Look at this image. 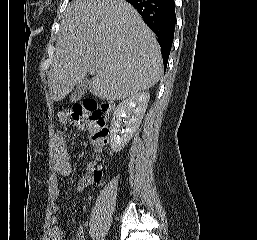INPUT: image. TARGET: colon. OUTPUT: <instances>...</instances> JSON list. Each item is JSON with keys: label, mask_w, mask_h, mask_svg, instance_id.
I'll return each mask as SVG.
<instances>
[{"label": "colon", "mask_w": 257, "mask_h": 240, "mask_svg": "<svg viewBox=\"0 0 257 240\" xmlns=\"http://www.w3.org/2000/svg\"><path fill=\"white\" fill-rule=\"evenodd\" d=\"M104 113L105 108H100L94 100L75 104L68 113L76 124L85 126L90 130L92 142L98 152H103L108 142V129L105 126ZM94 173L97 177H102V165L97 164Z\"/></svg>", "instance_id": "obj_1"}]
</instances>
